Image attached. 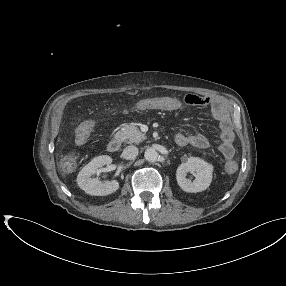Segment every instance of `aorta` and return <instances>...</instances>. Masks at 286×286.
Wrapping results in <instances>:
<instances>
[{
	"label": "aorta",
	"instance_id": "obj_1",
	"mask_svg": "<svg viewBox=\"0 0 286 286\" xmlns=\"http://www.w3.org/2000/svg\"><path fill=\"white\" fill-rule=\"evenodd\" d=\"M144 157L148 162H155L158 159V153L154 148H148L145 151Z\"/></svg>",
	"mask_w": 286,
	"mask_h": 286
}]
</instances>
